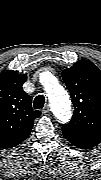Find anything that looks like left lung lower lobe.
Returning <instances> with one entry per match:
<instances>
[{"label": "left lung lower lobe", "instance_id": "obj_1", "mask_svg": "<svg viewBox=\"0 0 101 180\" xmlns=\"http://www.w3.org/2000/svg\"><path fill=\"white\" fill-rule=\"evenodd\" d=\"M67 140L70 141L74 146H76V147H78L80 149H89V148L94 147L91 144L83 143V142H80V141H75V140H72V139H67Z\"/></svg>", "mask_w": 101, "mask_h": 180}]
</instances>
